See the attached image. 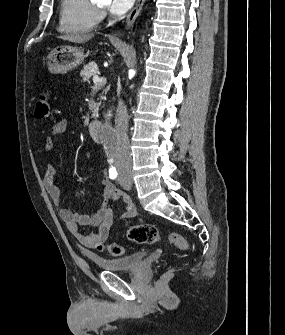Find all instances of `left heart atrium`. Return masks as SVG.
Segmentation results:
<instances>
[{"label": "left heart atrium", "instance_id": "left-heart-atrium-1", "mask_svg": "<svg viewBox=\"0 0 285 335\" xmlns=\"http://www.w3.org/2000/svg\"><path fill=\"white\" fill-rule=\"evenodd\" d=\"M109 8L111 14L118 16L127 11L134 3V1H103Z\"/></svg>", "mask_w": 285, "mask_h": 335}]
</instances>
